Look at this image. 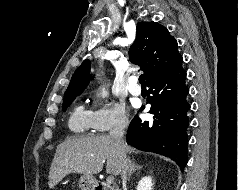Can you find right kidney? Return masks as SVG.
I'll return each instance as SVG.
<instances>
[{"instance_id": "obj_1", "label": "right kidney", "mask_w": 238, "mask_h": 190, "mask_svg": "<svg viewBox=\"0 0 238 190\" xmlns=\"http://www.w3.org/2000/svg\"><path fill=\"white\" fill-rule=\"evenodd\" d=\"M152 178L150 176L143 177L137 186V190H153Z\"/></svg>"}]
</instances>
